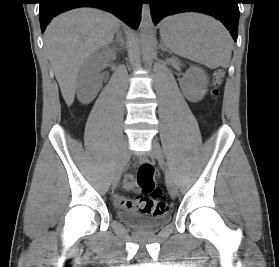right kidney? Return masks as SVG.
Listing matches in <instances>:
<instances>
[{
    "instance_id": "1",
    "label": "right kidney",
    "mask_w": 279,
    "mask_h": 267,
    "mask_svg": "<svg viewBox=\"0 0 279 267\" xmlns=\"http://www.w3.org/2000/svg\"><path fill=\"white\" fill-rule=\"evenodd\" d=\"M106 53L94 55L82 70L77 83V96L81 103L88 104L102 86L98 77L99 67Z\"/></svg>"
}]
</instances>
